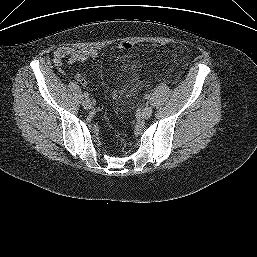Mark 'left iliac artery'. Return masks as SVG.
<instances>
[{
    "label": "left iliac artery",
    "instance_id": "obj_1",
    "mask_svg": "<svg viewBox=\"0 0 257 257\" xmlns=\"http://www.w3.org/2000/svg\"><path fill=\"white\" fill-rule=\"evenodd\" d=\"M144 97H145V99H149V98H150V95H149V94H146Z\"/></svg>",
    "mask_w": 257,
    "mask_h": 257
}]
</instances>
